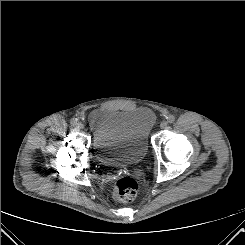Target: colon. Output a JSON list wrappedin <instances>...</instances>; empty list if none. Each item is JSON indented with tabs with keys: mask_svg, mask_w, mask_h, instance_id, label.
Listing matches in <instances>:
<instances>
[{
	"mask_svg": "<svg viewBox=\"0 0 245 245\" xmlns=\"http://www.w3.org/2000/svg\"><path fill=\"white\" fill-rule=\"evenodd\" d=\"M137 191L136 180L131 177H122L116 181L112 195L120 202H130L136 197Z\"/></svg>",
	"mask_w": 245,
	"mask_h": 245,
	"instance_id": "obj_1",
	"label": "colon"
}]
</instances>
